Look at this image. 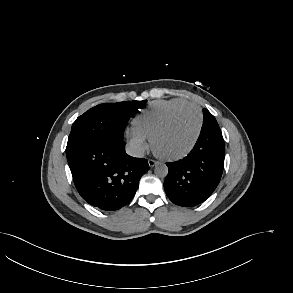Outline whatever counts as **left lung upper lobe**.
I'll return each instance as SVG.
<instances>
[{
  "label": "left lung upper lobe",
  "mask_w": 293,
  "mask_h": 293,
  "mask_svg": "<svg viewBox=\"0 0 293 293\" xmlns=\"http://www.w3.org/2000/svg\"><path fill=\"white\" fill-rule=\"evenodd\" d=\"M209 128H219L218 123L214 116L207 110L203 109V125L201 131Z\"/></svg>",
  "instance_id": "1"
}]
</instances>
